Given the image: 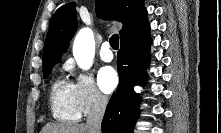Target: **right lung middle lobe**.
Here are the masks:
<instances>
[{
  "label": "right lung middle lobe",
  "mask_w": 221,
  "mask_h": 133,
  "mask_svg": "<svg viewBox=\"0 0 221 133\" xmlns=\"http://www.w3.org/2000/svg\"><path fill=\"white\" fill-rule=\"evenodd\" d=\"M56 63L48 64L46 66H43V75L44 78H47L49 74L52 72V68L54 67Z\"/></svg>",
  "instance_id": "right-lung-middle-lobe-1"
}]
</instances>
